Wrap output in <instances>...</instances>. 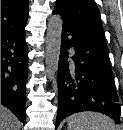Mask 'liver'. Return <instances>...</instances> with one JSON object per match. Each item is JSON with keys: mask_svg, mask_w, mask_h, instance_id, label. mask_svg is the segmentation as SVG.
Returning <instances> with one entry per match:
<instances>
[{"mask_svg": "<svg viewBox=\"0 0 123 130\" xmlns=\"http://www.w3.org/2000/svg\"><path fill=\"white\" fill-rule=\"evenodd\" d=\"M20 123L14 114L1 105V130H19Z\"/></svg>", "mask_w": 123, "mask_h": 130, "instance_id": "liver-1", "label": "liver"}]
</instances>
